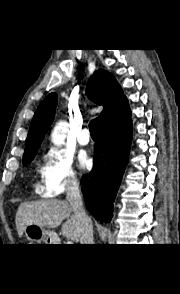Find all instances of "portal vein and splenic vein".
I'll list each match as a JSON object with an SVG mask.
<instances>
[{
    "mask_svg": "<svg viewBox=\"0 0 180 294\" xmlns=\"http://www.w3.org/2000/svg\"><path fill=\"white\" fill-rule=\"evenodd\" d=\"M67 244H73V242H71V241H68V242H67Z\"/></svg>",
    "mask_w": 180,
    "mask_h": 294,
    "instance_id": "portal-vein-and-splenic-vein-1",
    "label": "portal vein and splenic vein"
}]
</instances>
